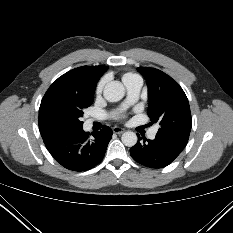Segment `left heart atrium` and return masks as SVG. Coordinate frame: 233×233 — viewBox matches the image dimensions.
Here are the masks:
<instances>
[{"mask_svg": "<svg viewBox=\"0 0 233 233\" xmlns=\"http://www.w3.org/2000/svg\"><path fill=\"white\" fill-rule=\"evenodd\" d=\"M125 116L122 114H116V118H124Z\"/></svg>", "mask_w": 233, "mask_h": 233, "instance_id": "1", "label": "left heart atrium"}]
</instances>
